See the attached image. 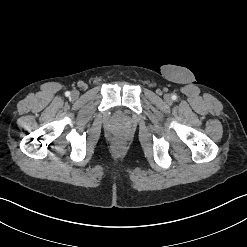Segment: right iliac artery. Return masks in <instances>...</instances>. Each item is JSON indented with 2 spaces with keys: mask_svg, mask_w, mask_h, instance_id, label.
<instances>
[{
  "mask_svg": "<svg viewBox=\"0 0 247 247\" xmlns=\"http://www.w3.org/2000/svg\"><path fill=\"white\" fill-rule=\"evenodd\" d=\"M65 95H66L67 97L70 96V92L67 91V92L65 93Z\"/></svg>",
  "mask_w": 247,
  "mask_h": 247,
  "instance_id": "right-iliac-artery-1",
  "label": "right iliac artery"
}]
</instances>
